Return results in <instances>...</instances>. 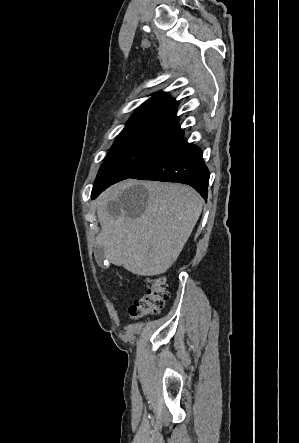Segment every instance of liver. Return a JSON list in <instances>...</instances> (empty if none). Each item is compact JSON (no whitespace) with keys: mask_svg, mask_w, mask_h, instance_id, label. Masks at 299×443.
<instances>
[{"mask_svg":"<svg viewBox=\"0 0 299 443\" xmlns=\"http://www.w3.org/2000/svg\"><path fill=\"white\" fill-rule=\"evenodd\" d=\"M129 188L130 201L121 195ZM203 200L191 187L129 181L97 199L101 232L96 244L106 259L138 276L165 273L176 261L202 212Z\"/></svg>","mask_w":299,"mask_h":443,"instance_id":"6515ba94","label":"liver"}]
</instances>
